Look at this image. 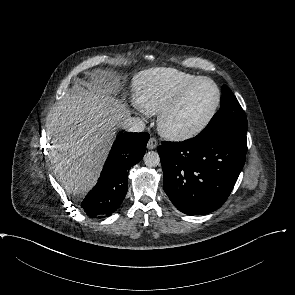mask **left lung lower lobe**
<instances>
[{"mask_svg": "<svg viewBox=\"0 0 295 295\" xmlns=\"http://www.w3.org/2000/svg\"><path fill=\"white\" fill-rule=\"evenodd\" d=\"M247 140L212 133L158 147L163 188L174 206L188 215H204L223 205L244 166Z\"/></svg>", "mask_w": 295, "mask_h": 295, "instance_id": "left-lung-lower-lobe-1", "label": "left lung lower lobe"}]
</instances>
